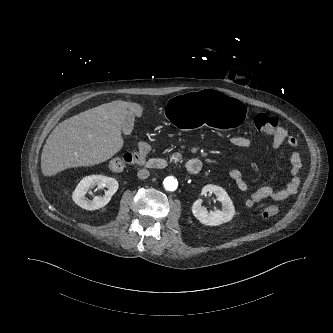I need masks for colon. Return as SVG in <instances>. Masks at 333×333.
Returning <instances> with one entry per match:
<instances>
[{
    "instance_id": "5ec220e1",
    "label": "colon",
    "mask_w": 333,
    "mask_h": 333,
    "mask_svg": "<svg viewBox=\"0 0 333 333\" xmlns=\"http://www.w3.org/2000/svg\"><path fill=\"white\" fill-rule=\"evenodd\" d=\"M255 128L262 133L273 135L277 128V121L272 116L265 113H259L254 119ZM146 151L128 152L121 156L114 157L109 162V168L113 171H121L127 166L142 164L146 158ZM279 212L275 205H269L263 208L262 216L265 218L272 217Z\"/></svg>"
}]
</instances>
